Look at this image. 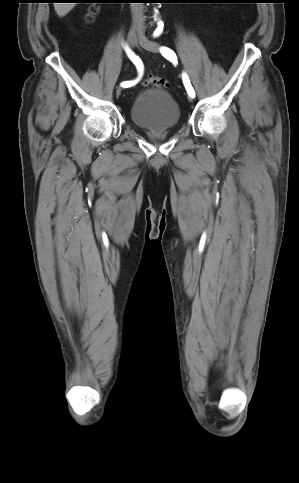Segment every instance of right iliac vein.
<instances>
[{
  "instance_id": "63e3f726",
  "label": "right iliac vein",
  "mask_w": 299,
  "mask_h": 483,
  "mask_svg": "<svg viewBox=\"0 0 299 483\" xmlns=\"http://www.w3.org/2000/svg\"><path fill=\"white\" fill-rule=\"evenodd\" d=\"M138 34L134 30H130L128 33V44L131 48H134L137 44ZM117 95H120L121 88H118L116 91Z\"/></svg>"
}]
</instances>
